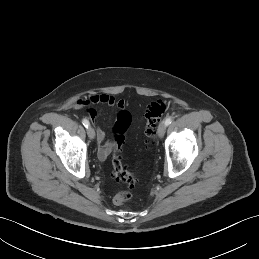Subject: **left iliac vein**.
Returning <instances> with one entry per match:
<instances>
[{
  "label": "left iliac vein",
  "instance_id": "left-iliac-vein-1",
  "mask_svg": "<svg viewBox=\"0 0 259 259\" xmlns=\"http://www.w3.org/2000/svg\"><path fill=\"white\" fill-rule=\"evenodd\" d=\"M166 124L165 123H160V125L158 126V130H157V133H158V136L160 138H162L166 132Z\"/></svg>",
  "mask_w": 259,
  "mask_h": 259
}]
</instances>
